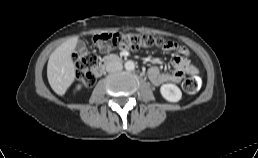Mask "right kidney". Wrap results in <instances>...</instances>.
<instances>
[{"label":"right kidney","instance_id":"right-kidney-1","mask_svg":"<svg viewBox=\"0 0 258 158\" xmlns=\"http://www.w3.org/2000/svg\"><path fill=\"white\" fill-rule=\"evenodd\" d=\"M80 89H81V85H77L76 90H80Z\"/></svg>","mask_w":258,"mask_h":158}]
</instances>
